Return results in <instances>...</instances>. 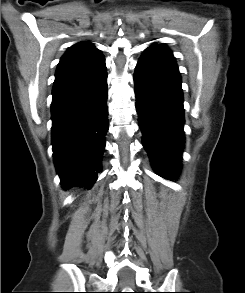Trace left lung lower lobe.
I'll use <instances>...</instances> for the list:
<instances>
[{
	"label": "left lung lower lobe",
	"mask_w": 245,
	"mask_h": 293,
	"mask_svg": "<svg viewBox=\"0 0 245 293\" xmlns=\"http://www.w3.org/2000/svg\"><path fill=\"white\" fill-rule=\"evenodd\" d=\"M136 110L143 146L151 165L165 179H175L184 148L181 77L170 50L148 47L134 74Z\"/></svg>",
	"instance_id": "left-lung-lower-lobe-1"
}]
</instances>
